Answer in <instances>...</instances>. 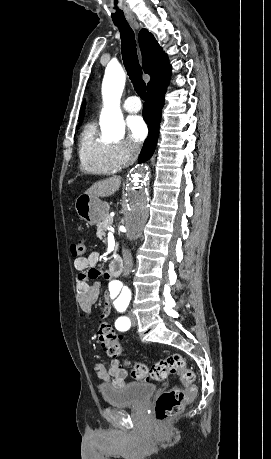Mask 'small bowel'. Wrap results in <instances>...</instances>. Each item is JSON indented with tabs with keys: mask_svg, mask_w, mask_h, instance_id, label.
Returning a JSON list of instances; mask_svg holds the SVG:
<instances>
[{
	"mask_svg": "<svg viewBox=\"0 0 271 459\" xmlns=\"http://www.w3.org/2000/svg\"><path fill=\"white\" fill-rule=\"evenodd\" d=\"M100 254L91 252L88 256L77 258L74 261V268L79 272L77 275V293L79 298L80 309L85 319H90L92 309L99 298V283L97 280L104 275L98 269ZM90 281H94L93 284ZM111 312V303L109 298H105L103 310L100 315V320L108 318ZM98 379L101 382V387L119 388L124 386L128 372L117 359L111 361L110 367L103 363H97L94 367Z\"/></svg>",
	"mask_w": 271,
	"mask_h": 459,
	"instance_id": "c3829d8e",
	"label": "small bowel"
}]
</instances>
